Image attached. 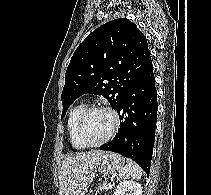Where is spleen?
<instances>
[{
	"label": "spleen",
	"mask_w": 211,
	"mask_h": 195,
	"mask_svg": "<svg viewBox=\"0 0 211 195\" xmlns=\"http://www.w3.org/2000/svg\"><path fill=\"white\" fill-rule=\"evenodd\" d=\"M122 178L138 180L142 176V169L131 159H127L126 166L120 171Z\"/></svg>",
	"instance_id": "3e777b00"
}]
</instances>
